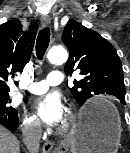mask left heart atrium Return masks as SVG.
Masks as SVG:
<instances>
[{
  "label": "left heart atrium",
  "mask_w": 130,
  "mask_h": 153,
  "mask_svg": "<svg viewBox=\"0 0 130 153\" xmlns=\"http://www.w3.org/2000/svg\"><path fill=\"white\" fill-rule=\"evenodd\" d=\"M37 115L47 125H56L62 121L65 107L57 93H48L35 103Z\"/></svg>",
  "instance_id": "obj_1"
}]
</instances>
